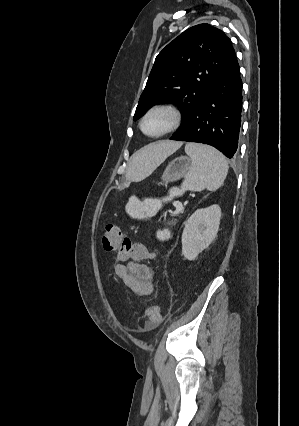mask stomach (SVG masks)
I'll list each match as a JSON object with an SVG mask.
<instances>
[{"mask_svg":"<svg viewBox=\"0 0 299 426\" xmlns=\"http://www.w3.org/2000/svg\"><path fill=\"white\" fill-rule=\"evenodd\" d=\"M192 168V161L189 157H178L171 161L166 167L162 181L167 184L185 177Z\"/></svg>","mask_w":299,"mask_h":426,"instance_id":"1","label":"stomach"}]
</instances>
